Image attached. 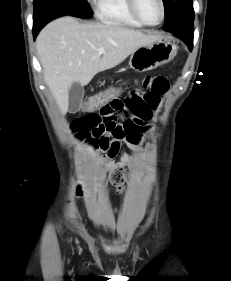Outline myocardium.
<instances>
[{"label": "myocardium", "mask_w": 231, "mask_h": 281, "mask_svg": "<svg viewBox=\"0 0 231 281\" xmlns=\"http://www.w3.org/2000/svg\"><path fill=\"white\" fill-rule=\"evenodd\" d=\"M160 5H161V19L159 20V22H157L156 24H151L148 23L140 14L139 8H138V0H128V5L130 8L131 13L133 14V16L144 26H148V27H157L160 24L163 23V21L165 20V16H166V6H165V2L164 0H159Z\"/></svg>", "instance_id": "1"}]
</instances>
